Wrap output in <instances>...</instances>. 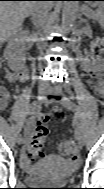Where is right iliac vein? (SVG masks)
Returning <instances> with one entry per match:
<instances>
[{"instance_id": "1", "label": "right iliac vein", "mask_w": 104, "mask_h": 189, "mask_svg": "<svg viewBox=\"0 0 104 189\" xmlns=\"http://www.w3.org/2000/svg\"><path fill=\"white\" fill-rule=\"evenodd\" d=\"M49 92V90L46 89H42L39 91V95H38V100L42 101L43 99H45V96L47 95V93ZM17 144L18 145H22L23 144V138L21 137V135L17 136Z\"/></svg>"}]
</instances>
